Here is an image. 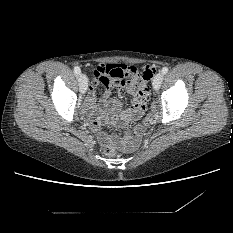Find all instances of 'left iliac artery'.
<instances>
[{"label":"left iliac artery","instance_id":"44dca946","mask_svg":"<svg viewBox=\"0 0 233 233\" xmlns=\"http://www.w3.org/2000/svg\"><path fill=\"white\" fill-rule=\"evenodd\" d=\"M161 72L163 74H166L168 72V68L167 67H163L162 70H161Z\"/></svg>","mask_w":233,"mask_h":233}]
</instances>
